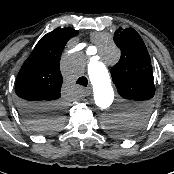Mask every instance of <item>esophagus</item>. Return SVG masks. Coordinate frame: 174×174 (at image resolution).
Wrapping results in <instances>:
<instances>
[{
    "instance_id": "1",
    "label": "esophagus",
    "mask_w": 174,
    "mask_h": 174,
    "mask_svg": "<svg viewBox=\"0 0 174 174\" xmlns=\"http://www.w3.org/2000/svg\"><path fill=\"white\" fill-rule=\"evenodd\" d=\"M90 94H91V89L90 88H87V89L84 90V95L85 96H88Z\"/></svg>"
}]
</instances>
